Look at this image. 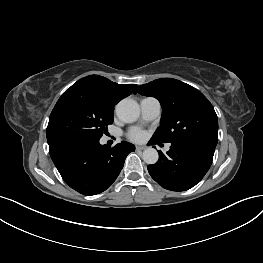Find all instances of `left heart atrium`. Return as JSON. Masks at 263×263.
<instances>
[{
    "mask_svg": "<svg viewBox=\"0 0 263 263\" xmlns=\"http://www.w3.org/2000/svg\"><path fill=\"white\" fill-rule=\"evenodd\" d=\"M128 138L134 142H141L144 140L146 134L143 130L139 129V128H132L129 132H128Z\"/></svg>",
    "mask_w": 263,
    "mask_h": 263,
    "instance_id": "left-heart-atrium-1",
    "label": "left heart atrium"
}]
</instances>
